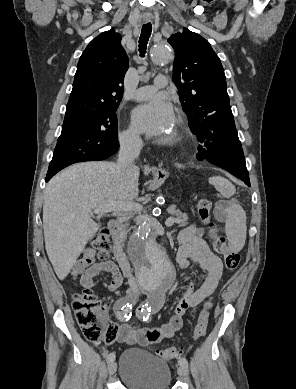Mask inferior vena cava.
Wrapping results in <instances>:
<instances>
[{
  "mask_svg": "<svg viewBox=\"0 0 296 389\" xmlns=\"http://www.w3.org/2000/svg\"><path fill=\"white\" fill-rule=\"evenodd\" d=\"M143 146L142 140L138 134L128 133L120 139V151L118 164L124 172L128 174H137V167L134 160L139 156ZM130 290L137 292V282L134 277L128 279Z\"/></svg>",
  "mask_w": 296,
  "mask_h": 389,
  "instance_id": "obj_1",
  "label": "inferior vena cava"
}]
</instances>
